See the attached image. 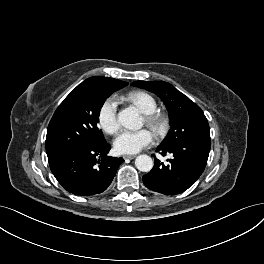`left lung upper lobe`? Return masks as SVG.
<instances>
[{
	"mask_svg": "<svg viewBox=\"0 0 264 264\" xmlns=\"http://www.w3.org/2000/svg\"><path fill=\"white\" fill-rule=\"evenodd\" d=\"M131 85L155 93L167 107L171 129L160 146L210 139L209 124L201 108L174 86L164 81H135Z\"/></svg>",
	"mask_w": 264,
	"mask_h": 264,
	"instance_id": "5c2ea615",
	"label": "left lung upper lobe"
}]
</instances>
